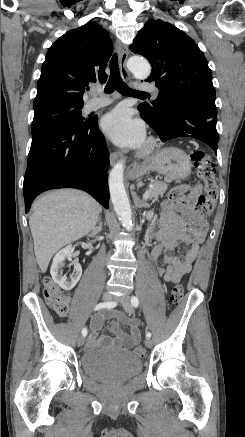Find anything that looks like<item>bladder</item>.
Here are the masks:
<instances>
[{
  "mask_svg": "<svg viewBox=\"0 0 245 437\" xmlns=\"http://www.w3.org/2000/svg\"><path fill=\"white\" fill-rule=\"evenodd\" d=\"M84 373L96 380L107 383H122L142 369V361L126 349H95L85 352L81 357Z\"/></svg>",
  "mask_w": 245,
  "mask_h": 437,
  "instance_id": "bladder-1",
  "label": "bladder"
}]
</instances>
